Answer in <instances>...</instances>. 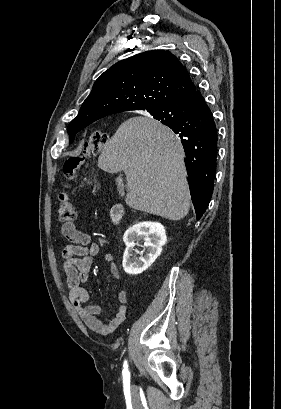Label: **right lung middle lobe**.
<instances>
[{
  "instance_id": "obj_1",
  "label": "right lung middle lobe",
  "mask_w": 281,
  "mask_h": 409,
  "mask_svg": "<svg viewBox=\"0 0 281 409\" xmlns=\"http://www.w3.org/2000/svg\"><path fill=\"white\" fill-rule=\"evenodd\" d=\"M157 120L161 121L164 125H167L170 121L171 118H157ZM83 129L82 127H68V134L70 136V143L73 142L74 137L78 131Z\"/></svg>"
}]
</instances>
